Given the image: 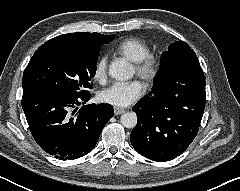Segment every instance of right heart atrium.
Returning <instances> with one entry per match:
<instances>
[{"label": "right heart atrium", "mask_w": 240, "mask_h": 191, "mask_svg": "<svg viewBox=\"0 0 240 191\" xmlns=\"http://www.w3.org/2000/svg\"><path fill=\"white\" fill-rule=\"evenodd\" d=\"M107 75V57L105 55L100 56L95 64L94 78L103 81Z\"/></svg>", "instance_id": "obj_1"}]
</instances>
